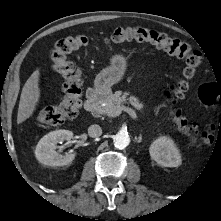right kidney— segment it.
<instances>
[{"label": "right kidney", "mask_w": 221, "mask_h": 221, "mask_svg": "<svg viewBox=\"0 0 221 221\" xmlns=\"http://www.w3.org/2000/svg\"><path fill=\"white\" fill-rule=\"evenodd\" d=\"M73 138V132L69 130H56L48 133L40 139L35 149L37 160L47 166H64L69 165L75 159L76 153L58 154L56 149L57 143H62Z\"/></svg>", "instance_id": "ca27d5eb"}]
</instances>
